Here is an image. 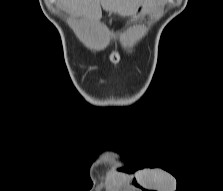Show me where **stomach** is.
<instances>
[{"instance_id":"stomach-1","label":"stomach","mask_w":223,"mask_h":191,"mask_svg":"<svg viewBox=\"0 0 223 191\" xmlns=\"http://www.w3.org/2000/svg\"><path fill=\"white\" fill-rule=\"evenodd\" d=\"M155 0H141L138 5L135 7L132 15L134 17L140 16L147 12L148 8L154 4Z\"/></svg>"}]
</instances>
